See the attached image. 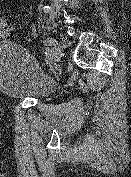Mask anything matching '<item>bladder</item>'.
<instances>
[{
	"label": "bladder",
	"mask_w": 131,
	"mask_h": 177,
	"mask_svg": "<svg viewBox=\"0 0 131 177\" xmlns=\"http://www.w3.org/2000/svg\"><path fill=\"white\" fill-rule=\"evenodd\" d=\"M56 88L34 57L13 42L0 45V92L14 99L43 100Z\"/></svg>",
	"instance_id": "bladder-1"
}]
</instances>
